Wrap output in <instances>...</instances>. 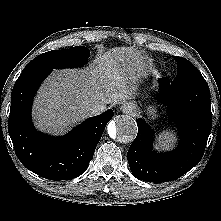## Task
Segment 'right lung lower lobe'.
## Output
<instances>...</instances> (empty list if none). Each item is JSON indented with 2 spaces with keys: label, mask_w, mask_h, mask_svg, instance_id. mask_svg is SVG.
Here are the masks:
<instances>
[{
  "label": "right lung lower lobe",
  "mask_w": 221,
  "mask_h": 221,
  "mask_svg": "<svg viewBox=\"0 0 221 221\" xmlns=\"http://www.w3.org/2000/svg\"><path fill=\"white\" fill-rule=\"evenodd\" d=\"M52 71L49 68H30L22 71L11 94L8 132L21 163L37 175L58 181L83 174L113 111L87 119L62 137L38 132L31 122L33 97Z\"/></svg>",
  "instance_id": "98d812e1"
}]
</instances>
